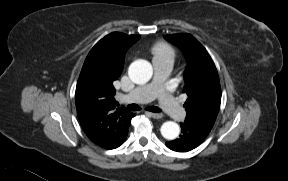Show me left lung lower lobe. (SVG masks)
Returning a JSON list of instances; mask_svg holds the SVG:
<instances>
[{
    "label": "left lung lower lobe",
    "mask_w": 288,
    "mask_h": 181,
    "mask_svg": "<svg viewBox=\"0 0 288 181\" xmlns=\"http://www.w3.org/2000/svg\"><path fill=\"white\" fill-rule=\"evenodd\" d=\"M182 134L176 140L166 143L167 147L178 152H186L196 148L207 137L212 127L191 121L181 123Z\"/></svg>",
    "instance_id": "1"
}]
</instances>
